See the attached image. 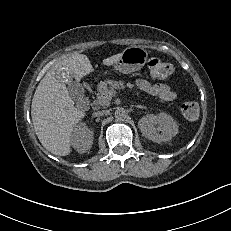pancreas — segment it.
<instances>
[{
  "instance_id": "1",
  "label": "pancreas",
  "mask_w": 231,
  "mask_h": 231,
  "mask_svg": "<svg viewBox=\"0 0 231 231\" xmlns=\"http://www.w3.org/2000/svg\"><path fill=\"white\" fill-rule=\"evenodd\" d=\"M127 86L129 89L134 87L133 84L125 83L123 81H114L107 79L105 81H101L97 85L98 93H97V103L102 107H107L110 105V101L112 96L109 95L110 91H114L115 89H124Z\"/></svg>"
}]
</instances>
